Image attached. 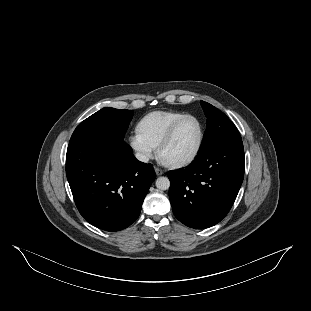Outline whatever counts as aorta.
Masks as SVG:
<instances>
[{
	"label": "aorta",
	"instance_id": "aorta-1",
	"mask_svg": "<svg viewBox=\"0 0 311 311\" xmlns=\"http://www.w3.org/2000/svg\"><path fill=\"white\" fill-rule=\"evenodd\" d=\"M155 185L160 190H168L170 188V180L167 177H158Z\"/></svg>",
	"mask_w": 311,
	"mask_h": 311
}]
</instances>
